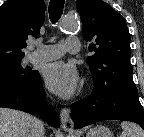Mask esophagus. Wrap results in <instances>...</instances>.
Segmentation results:
<instances>
[{"label":"esophagus","mask_w":144,"mask_h":137,"mask_svg":"<svg viewBox=\"0 0 144 137\" xmlns=\"http://www.w3.org/2000/svg\"><path fill=\"white\" fill-rule=\"evenodd\" d=\"M61 126L66 132H72L74 123L68 108H63L60 112Z\"/></svg>","instance_id":"1"}]
</instances>
